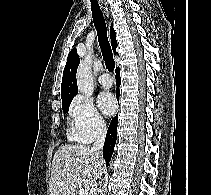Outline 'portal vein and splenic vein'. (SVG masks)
<instances>
[{"label":"portal vein and splenic vein","instance_id":"obj_1","mask_svg":"<svg viewBox=\"0 0 211 195\" xmlns=\"http://www.w3.org/2000/svg\"><path fill=\"white\" fill-rule=\"evenodd\" d=\"M77 181H78V183L80 184L81 181H80L79 178H78ZM78 194H79V195H84V194H85V190H84V188H82L81 186H80V189H79V191H78Z\"/></svg>","mask_w":211,"mask_h":195}]
</instances>
